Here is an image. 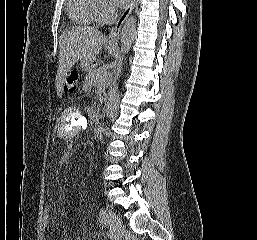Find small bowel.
<instances>
[{"instance_id":"c3829d8e","label":"small bowel","mask_w":257,"mask_h":240,"mask_svg":"<svg viewBox=\"0 0 257 240\" xmlns=\"http://www.w3.org/2000/svg\"><path fill=\"white\" fill-rule=\"evenodd\" d=\"M65 240H76V239H73L70 235L65 234Z\"/></svg>"}]
</instances>
